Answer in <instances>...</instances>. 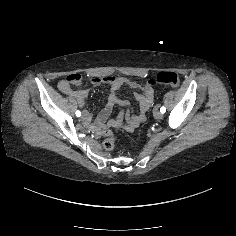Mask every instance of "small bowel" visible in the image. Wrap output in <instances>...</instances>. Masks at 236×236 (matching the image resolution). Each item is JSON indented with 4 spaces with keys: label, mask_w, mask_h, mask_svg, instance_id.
Returning <instances> with one entry per match:
<instances>
[{
    "label": "small bowel",
    "mask_w": 236,
    "mask_h": 236,
    "mask_svg": "<svg viewBox=\"0 0 236 236\" xmlns=\"http://www.w3.org/2000/svg\"><path fill=\"white\" fill-rule=\"evenodd\" d=\"M105 79H93L91 84L92 85H99L101 84ZM59 88L62 92H64L65 94H68V95H72V94H76V95H79L81 97H83L85 99V97L87 96V90H83V91H75L73 90L70 85L67 83L66 80H62L60 83H59ZM147 93L149 95V98H148V102L145 106H143L141 108V111L142 113H144L148 108L149 106L151 105V102L153 100V93H152V90L150 88H147ZM84 103V102H83ZM83 103H81L80 105H83ZM87 119L89 120L90 119V116L88 115L87 116Z\"/></svg>",
    "instance_id": "c3829d8e"
}]
</instances>
